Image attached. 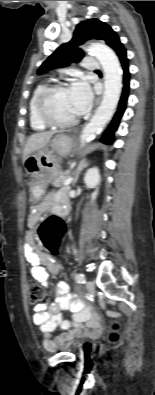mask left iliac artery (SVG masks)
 <instances>
[{"mask_svg":"<svg viewBox=\"0 0 155 395\" xmlns=\"http://www.w3.org/2000/svg\"><path fill=\"white\" fill-rule=\"evenodd\" d=\"M75 279H76V281H77L78 283H81V284H84L85 281H86L85 276H84L82 273H77V274L75 275Z\"/></svg>","mask_w":155,"mask_h":395,"instance_id":"left-iliac-artery-1","label":"left iliac artery"}]
</instances>
